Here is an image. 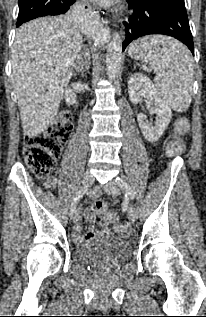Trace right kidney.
I'll list each match as a JSON object with an SVG mask.
<instances>
[{
    "label": "right kidney",
    "mask_w": 206,
    "mask_h": 317,
    "mask_svg": "<svg viewBox=\"0 0 206 317\" xmlns=\"http://www.w3.org/2000/svg\"><path fill=\"white\" fill-rule=\"evenodd\" d=\"M64 98H65V101H66V103H67L68 105H73V104L76 102V95H75V93H74L71 89H69V88H67V89L65 90Z\"/></svg>",
    "instance_id": "ca27d5eb"
}]
</instances>
